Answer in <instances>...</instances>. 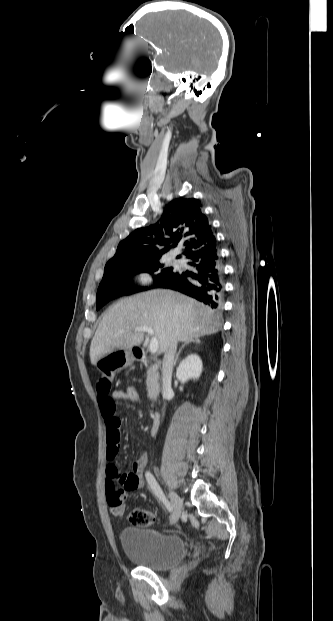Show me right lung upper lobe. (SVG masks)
Instances as JSON below:
<instances>
[{
    "label": "right lung upper lobe",
    "instance_id": "cb5924a9",
    "mask_svg": "<svg viewBox=\"0 0 333 621\" xmlns=\"http://www.w3.org/2000/svg\"><path fill=\"white\" fill-rule=\"evenodd\" d=\"M214 244L216 239L202 213L201 202L194 198H177L166 206L157 223L136 229L121 241L106 266L161 258L177 245L185 247L183 254L186 255Z\"/></svg>",
    "mask_w": 333,
    "mask_h": 621
}]
</instances>
